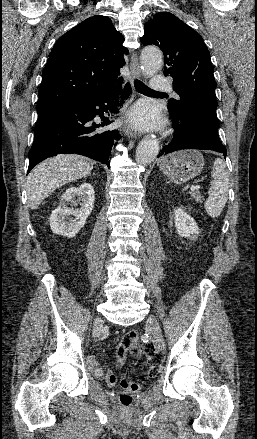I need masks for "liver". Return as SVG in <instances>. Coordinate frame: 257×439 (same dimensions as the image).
<instances>
[{
  "mask_svg": "<svg viewBox=\"0 0 257 439\" xmlns=\"http://www.w3.org/2000/svg\"><path fill=\"white\" fill-rule=\"evenodd\" d=\"M93 166L92 160L76 154L58 155L37 165L27 178L30 209H37L58 187L89 175Z\"/></svg>",
  "mask_w": 257,
  "mask_h": 439,
  "instance_id": "1",
  "label": "liver"
}]
</instances>
